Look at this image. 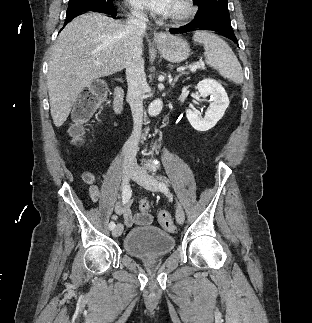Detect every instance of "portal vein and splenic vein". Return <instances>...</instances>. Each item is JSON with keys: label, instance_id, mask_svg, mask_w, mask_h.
<instances>
[{"label": "portal vein and splenic vein", "instance_id": "18ae733b", "mask_svg": "<svg viewBox=\"0 0 312 323\" xmlns=\"http://www.w3.org/2000/svg\"><path fill=\"white\" fill-rule=\"evenodd\" d=\"M95 66H100V62H94ZM197 68H205L204 62H196L195 66H191L190 72H196Z\"/></svg>", "mask_w": 312, "mask_h": 323}]
</instances>
